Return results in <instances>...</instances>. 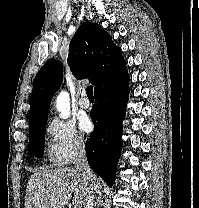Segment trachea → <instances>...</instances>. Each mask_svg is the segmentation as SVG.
I'll use <instances>...</instances> for the list:
<instances>
[{
  "mask_svg": "<svg viewBox=\"0 0 199 208\" xmlns=\"http://www.w3.org/2000/svg\"><path fill=\"white\" fill-rule=\"evenodd\" d=\"M87 96L89 99H94L93 96V86H88L86 90Z\"/></svg>",
  "mask_w": 199,
  "mask_h": 208,
  "instance_id": "trachea-1",
  "label": "trachea"
}]
</instances>
